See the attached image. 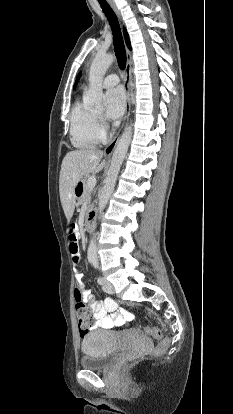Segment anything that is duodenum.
<instances>
[{
	"label": "duodenum",
	"mask_w": 233,
	"mask_h": 414,
	"mask_svg": "<svg viewBox=\"0 0 233 414\" xmlns=\"http://www.w3.org/2000/svg\"><path fill=\"white\" fill-rule=\"evenodd\" d=\"M77 185H80L83 188L82 183H78ZM95 219H96V212L95 211H90L86 216V219H85V222H84V229L87 230V231L92 230Z\"/></svg>",
	"instance_id": "duodenum-1"
}]
</instances>
